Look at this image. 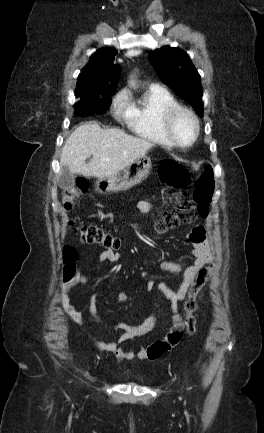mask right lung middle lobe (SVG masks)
<instances>
[{"label":"right lung middle lobe","mask_w":264,"mask_h":433,"mask_svg":"<svg viewBox=\"0 0 264 433\" xmlns=\"http://www.w3.org/2000/svg\"><path fill=\"white\" fill-rule=\"evenodd\" d=\"M113 93L105 94L100 97L92 98H80L77 103H75L74 108L77 115L89 116L92 114H103L110 106L111 98Z\"/></svg>","instance_id":"1"}]
</instances>
